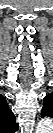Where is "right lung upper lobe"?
<instances>
[{
    "label": "right lung upper lobe",
    "instance_id": "1",
    "mask_svg": "<svg viewBox=\"0 0 53 133\" xmlns=\"http://www.w3.org/2000/svg\"><path fill=\"white\" fill-rule=\"evenodd\" d=\"M17 127L15 116L9 109L7 101L0 96V129L5 133H14Z\"/></svg>",
    "mask_w": 53,
    "mask_h": 133
}]
</instances>
